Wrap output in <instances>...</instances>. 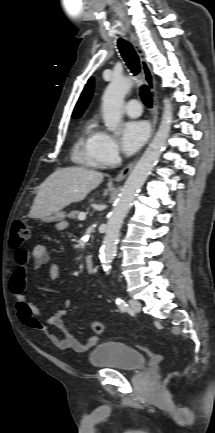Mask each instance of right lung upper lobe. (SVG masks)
<instances>
[{
    "mask_svg": "<svg viewBox=\"0 0 215 433\" xmlns=\"http://www.w3.org/2000/svg\"><path fill=\"white\" fill-rule=\"evenodd\" d=\"M93 88H94L93 78H90L75 106V109L72 114L73 118H79L80 115L83 113V111L85 110V108L87 107L91 99Z\"/></svg>",
    "mask_w": 215,
    "mask_h": 433,
    "instance_id": "obj_1",
    "label": "right lung upper lobe"
}]
</instances>
